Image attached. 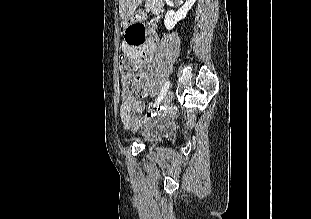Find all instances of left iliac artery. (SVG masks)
Here are the masks:
<instances>
[{
    "mask_svg": "<svg viewBox=\"0 0 311 219\" xmlns=\"http://www.w3.org/2000/svg\"><path fill=\"white\" fill-rule=\"evenodd\" d=\"M170 87V81H166L164 86L162 87V90L160 92V95L158 96L157 101L153 105V108H155L164 98L165 94L167 93L168 89Z\"/></svg>",
    "mask_w": 311,
    "mask_h": 219,
    "instance_id": "obj_1",
    "label": "left iliac artery"
}]
</instances>
